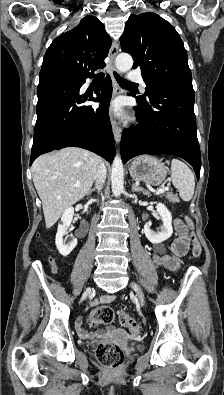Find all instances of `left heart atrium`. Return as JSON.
Returning a JSON list of instances; mask_svg holds the SVG:
<instances>
[{
  "label": "left heart atrium",
  "instance_id": "left-heart-atrium-1",
  "mask_svg": "<svg viewBox=\"0 0 224 395\" xmlns=\"http://www.w3.org/2000/svg\"><path fill=\"white\" fill-rule=\"evenodd\" d=\"M121 108H122V103L120 101H116L113 104V110H115L116 112H121Z\"/></svg>",
  "mask_w": 224,
  "mask_h": 395
}]
</instances>
